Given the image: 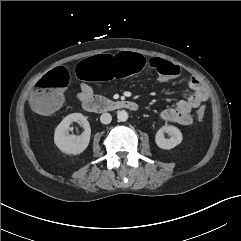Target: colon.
Returning a JSON list of instances; mask_svg holds the SVG:
<instances>
[{
	"mask_svg": "<svg viewBox=\"0 0 241 241\" xmlns=\"http://www.w3.org/2000/svg\"><path fill=\"white\" fill-rule=\"evenodd\" d=\"M148 64L158 71V79L161 82L171 81L181 72L178 65L159 58L151 59ZM145 65V60L137 52L114 51L97 54L90 60L79 61L75 71L77 76L84 80H110L138 73ZM68 83L69 77L65 68L57 67L48 72L36 83L30 99L32 107L42 114L53 113L61 105ZM196 116L198 120H203L205 108L201 107Z\"/></svg>",
	"mask_w": 241,
	"mask_h": 241,
	"instance_id": "5ec220e1",
	"label": "colon"
}]
</instances>
